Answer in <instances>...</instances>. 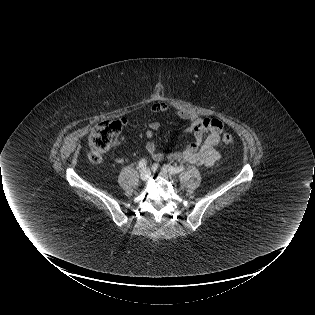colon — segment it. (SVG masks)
Masks as SVG:
<instances>
[{
	"mask_svg": "<svg viewBox=\"0 0 315 315\" xmlns=\"http://www.w3.org/2000/svg\"><path fill=\"white\" fill-rule=\"evenodd\" d=\"M119 121H105L98 124L89 135V159L98 163L102 160L104 154L117 142L121 130ZM222 143L226 146H232L234 138L225 133L222 135Z\"/></svg>",
	"mask_w": 315,
	"mask_h": 315,
	"instance_id": "obj_1",
	"label": "colon"
}]
</instances>
